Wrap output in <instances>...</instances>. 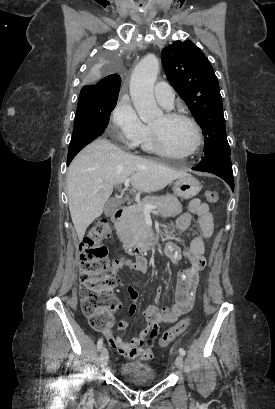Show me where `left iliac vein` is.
<instances>
[{
    "instance_id": "left-iliac-vein-1",
    "label": "left iliac vein",
    "mask_w": 275,
    "mask_h": 409,
    "mask_svg": "<svg viewBox=\"0 0 275 409\" xmlns=\"http://www.w3.org/2000/svg\"><path fill=\"white\" fill-rule=\"evenodd\" d=\"M175 365H176V367L179 369V371L183 369V365H184V358H183V356L178 355V356L176 357Z\"/></svg>"
}]
</instances>
